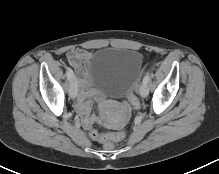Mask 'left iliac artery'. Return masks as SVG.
Instances as JSON below:
<instances>
[{"instance_id":"obj_1","label":"left iliac artery","mask_w":219,"mask_h":174,"mask_svg":"<svg viewBox=\"0 0 219 174\" xmlns=\"http://www.w3.org/2000/svg\"><path fill=\"white\" fill-rule=\"evenodd\" d=\"M149 79H150V73L147 72L146 75L143 78V83L147 85L148 82H149Z\"/></svg>"}]
</instances>
